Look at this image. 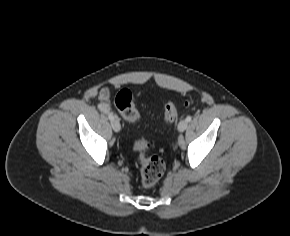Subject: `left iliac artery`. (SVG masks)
Listing matches in <instances>:
<instances>
[{
	"mask_svg": "<svg viewBox=\"0 0 290 236\" xmlns=\"http://www.w3.org/2000/svg\"><path fill=\"white\" fill-rule=\"evenodd\" d=\"M191 119H192V117H191V116H187V117H186V121H187V122H190V121H191Z\"/></svg>",
	"mask_w": 290,
	"mask_h": 236,
	"instance_id": "left-iliac-artery-1",
	"label": "left iliac artery"
}]
</instances>
